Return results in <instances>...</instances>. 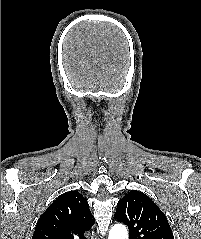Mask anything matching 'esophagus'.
I'll list each match as a JSON object with an SVG mask.
<instances>
[{
  "label": "esophagus",
  "instance_id": "esophagus-1",
  "mask_svg": "<svg viewBox=\"0 0 201 239\" xmlns=\"http://www.w3.org/2000/svg\"><path fill=\"white\" fill-rule=\"evenodd\" d=\"M95 239H100L99 236H97Z\"/></svg>",
  "mask_w": 201,
  "mask_h": 239
}]
</instances>
